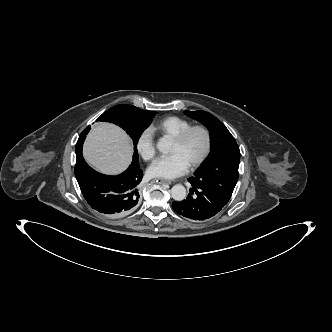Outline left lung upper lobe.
Here are the masks:
<instances>
[{
  "label": "left lung upper lobe",
  "mask_w": 332,
  "mask_h": 332,
  "mask_svg": "<svg viewBox=\"0 0 332 332\" xmlns=\"http://www.w3.org/2000/svg\"><path fill=\"white\" fill-rule=\"evenodd\" d=\"M205 125L211 135V153L191 178L229 200L237 183L240 162L239 147L226 126L206 111H184Z\"/></svg>",
  "instance_id": "obj_1"
}]
</instances>
